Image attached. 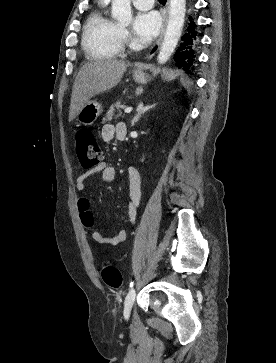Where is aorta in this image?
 Segmentation results:
<instances>
[{
  "mask_svg": "<svg viewBox=\"0 0 276 363\" xmlns=\"http://www.w3.org/2000/svg\"><path fill=\"white\" fill-rule=\"evenodd\" d=\"M112 17L121 24L132 20L130 0H112ZM186 13V0H170L169 21L164 40L160 46L157 61L166 63L174 52L181 37Z\"/></svg>",
  "mask_w": 276,
  "mask_h": 363,
  "instance_id": "1",
  "label": "aorta"
}]
</instances>
